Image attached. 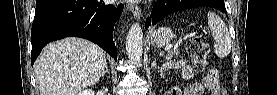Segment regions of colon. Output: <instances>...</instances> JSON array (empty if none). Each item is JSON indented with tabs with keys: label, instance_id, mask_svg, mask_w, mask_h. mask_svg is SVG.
Instances as JSON below:
<instances>
[{
	"label": "colon",
	"instance_id": "colon-1",
	"mask_svg": "<svg viewBox=\"0 0 277 95\" xmlns=\"http://www.w3.org/2000/svg\"><path fill=\"white\" fill-rule=\"evenodd\" d=\"M187 51L192 61L194 62L198 71H203L207 63V57L209 54V45L204 42L200 37H191L187 43ZM215 70L207 72V78L209 82L213 81Z\"/></svg>",
	"mask_w": 277,
	"mask_h": 95
}]
</instances>
